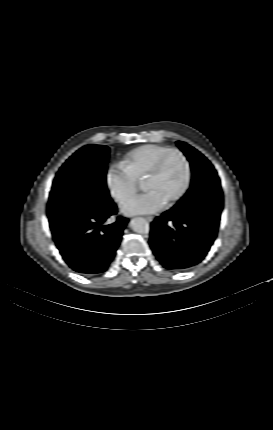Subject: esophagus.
I'll return each mask as SVG.
<instances>
[{
	"instance_id": "34e87169",
	"label": "esophagus",
	"mask_w": 273,
	"mask_h": 430,
	"mask_svg": "<svg viewBox=\"0 0 273 430\" xmlns=\"http://www.w3.org/2000/svg\"><path fill=\"white\" fill-rule=\"evenodd\" d=\"M153 219H154V218H153L152 216H147V217H146V220H148L149 222H152V221H153Z\"/></svg>"
}]
</instances>
